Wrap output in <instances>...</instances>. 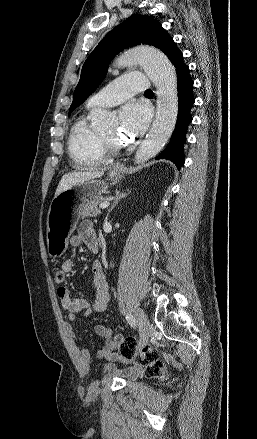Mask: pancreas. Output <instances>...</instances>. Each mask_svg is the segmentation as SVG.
Listing matches in <instances>:
<instances>
[{
	"mask_svg": "<svg viewBox=\"0 0 257 439\" xmlns=\"http://www.w3.org/2000/svg\"><path fill=\"white\" fill-rule=\"evenodd\" d=\"M105 200L106 198L99 196L87 201L80 212L81 218L96 217L100 215L101 210L98 208V205Z\"/></svg>",
	"mask_w": 257,
	"mask_h": 439,
	"instance_id": "1",
	"label": "pancreas"
}]
</instances>
